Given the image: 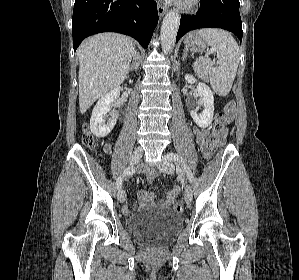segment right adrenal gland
<instances>
[{"instance_id":"2a0ac1e0","label":"right adrenal gland","mask_w":299,"mask_h":280,"mask_svg":"<svg viewBox=\"0 0 299 280\" xmlns=\"http://www.w3.org/2000/svg\"><path fill=\"white\" fill-rule=\"evenodd\" d=\"M137 59H138V60L140 59V55H139L138 52H137ZM133 68H134V66L132 65V66L129 68V70H133Z\"/></svg>"}]
</instances>
